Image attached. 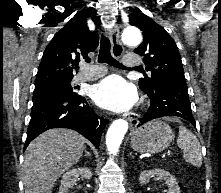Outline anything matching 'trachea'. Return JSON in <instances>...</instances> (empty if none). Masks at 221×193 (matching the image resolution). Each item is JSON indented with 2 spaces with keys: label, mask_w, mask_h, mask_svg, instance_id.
I'll list each match as a JSON object with an SVG mask.
<instances>
[{
  "label": "trachea",
  "mask_w": 221,
  "mask_h": 193,
  "mask_svg": "<svg viewBox=\"0 0 221 193\" xmlns=\"http://www.w3.org/2000/svg\"><path fill=\"white\" fill-rule=\"evenodd\" d=\"M99 63H107L117 68H126L123 64L119 63L110 54V41L105 35H101L100 50L98 55ZM135 69L142 70V68L135 67Z\"/></svg>",
  "instance_id": "1"
}]
</instances>
